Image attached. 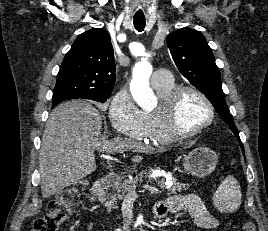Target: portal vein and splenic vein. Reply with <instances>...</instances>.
Returning a JSON list of instances; mask_svg holds the SVG:
<instances>
[{
	"label": "portal vein and splenic vein",
	"mask_w": 268,
	"mask_h": 231,
	"mask_svg": "<svg viewBox=\"0 0 268 231\" xmlns=\"http://www.w3.org/2000/svg\"><path fill=\"white\" fill-rule=\"evenodd\" d=\"M135 187H136V186H134V188H132L130 191H131V192H132V191L134 192ZM143 188H144L145 190H148L150 193H156V194L159 193V190H158L157 188L151 186V185H144Z\"/></svg>",
	"instance_id": "portal-vein-and-splenic-vein-1"
}]
</instances>
